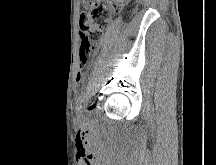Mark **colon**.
Returning <instances> with one entry per match:
<instances>
[{"mask_svg": "<svg viewBox=\"0 0 216 165\" xmlns=\"http://www.w3.org/2000/svg\"><path fill=\"white\" fill-rule=\"evenodd\" d=\"M127 0H83L85 12L80 17V60L85 63L94 44L108 28L116 10Z\"/></svg>", "mask_w": 216, "mask_h": 165, "instance_id": "5ec220e1", "label": "colon"}]
</instances>
